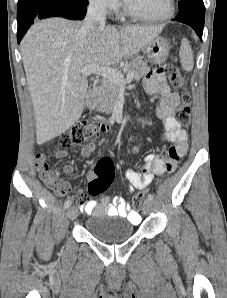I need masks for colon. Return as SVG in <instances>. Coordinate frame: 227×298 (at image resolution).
Returning <instances> with one entry per match:
<instances>
[{
  "instance_id": "obj_1",
  "label": "colon",
  "mask_w": 227,
  "mask_h": 298,
  "mask_svg": "<svg viewBox=\"0 0 227 298\" xmlns=\"http://www.w3.org/2000/svg\"><path fill=\"white\" fill-rule=\"evenodd\" d=\"M168 77L171 84L177 88L184 87V78L178 67L172 65L168 69ZM183 106L177 111L175 118L181 125H188L191 119V98L186 92L182 95ZM99 134L98 128L92 121H84L76 124L70 130L64 132L59 138V144L62 149L73 145H78L89 141L92 137ZM114 180V165L111 159L101 158L94 169V176L89 180L88 190L91 195L97 196L103 194ZM146 192L138 193L133 204L139 208L145 198Z\"/></svg>"
}]
</instances>
